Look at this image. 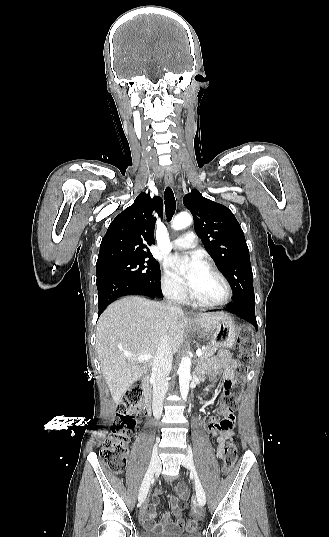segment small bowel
Segmentation results:
<instances>
[{
    "label": "small bowel",
    "mask_w": 329,
    "mask_h": 537,
    "mask_svg": "<svg viewBox=\"0 0 329 537\" xmlns=\"http://www.w3.org/2000/svg\"><path fill=\"white\" fill-rule=\"evenodd\" d=\"M236 361L230 357L226 352H221L216 356L209 367V375L212 379L217 376H221L223 381L219 382L217 389L221 391L223 395H226L231 391L233 386V381L236 378ZM207 432L210 436L216 438L218 442V448L216 451V456L219 459H223L225 452L224 447L228 441L233 437V430L222 431L217 425L216 422L209 419L207 421ZM227 439V441H226ZM178 496L170 495L169 503L172 507V512L174 520L171 518L168 512L162 514V519L159 522L155 521L156 518V508L159 503V493L160 490L156 489L153 494L152 499L149 502H146L141 509V520L144 527L147 530L157 532V533H171L176 534L181 532L184 529V521L182 518L184 503L188 496V490L184 484H180L176 487Z\"/></svg>",
    "instance_id": "small-bowel-1"
}]
</instances>
